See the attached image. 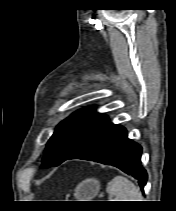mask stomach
Here are the masks:
<instances>
[{
	"label": "stomach",
	"instance_id": "0dacf381",
	"mask_svg": "<svg viewBox=\"0 0 176 211\" xmlns=\"http://www.w3.org/2000/svg\"><path fill=\"white\" fill-rule=\"evenodd\" d=\"M99 191V181L94 178H90L84 180L77 186L75 195L81 199H92L98 195Z\"/></svg>",
	"mask_w": 176,
	"mask_h": 211
}]
</instances>
